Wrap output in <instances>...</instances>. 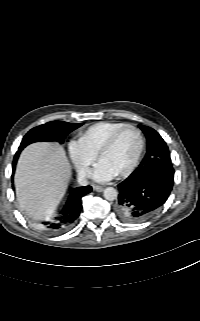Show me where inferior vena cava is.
<instances>
[{
	"mask_svg": "<svg viewBox=\"0 0 200 321\" xmlns=\"http://www.w3.org/2000/svg\"><path fill=\"white\" fill-rule=\"evenodd\" d=\"M87 175L88 169L81 168L78 170V182L83 186L88 184Z\"/></svg>",
	"mask_w": 200,
	"mask_h": 321,
	"instance_id": "inferior-vena-cava-1",
	"label": "inferior vena cava"
}]
</instances>
